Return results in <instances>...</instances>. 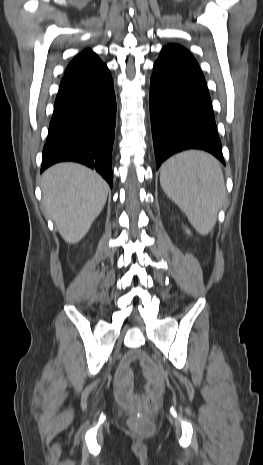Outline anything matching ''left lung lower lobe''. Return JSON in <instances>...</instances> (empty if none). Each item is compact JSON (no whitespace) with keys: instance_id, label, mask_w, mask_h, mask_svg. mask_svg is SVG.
<instances>
[{"instance_id":"obj_1","label":"left lung lower lobe","mask_w":263,"mask_h":465,"mask_svg":"<svg viewBox=\"0 0 263 465\" xmlns=\"http://www.w3.org/2000/svg\"><path fill=\"white\" fill-rule=\"evenodd\" d=\"M150 117L157 169L186 149L208 151L225 164L205 78L179 45L163 47L154 64Z\"/></svg>"}]
</instances>
